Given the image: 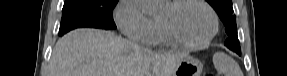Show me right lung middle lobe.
Returning a JSON list of instances; mask_svg holds the SVG:
<instances>
[{
	"mask_svg": "<svg viewBox=\"0 0 287 76\" xmlns=\"http://www.w3.org/2000/svg\"><path fill=\"white\" fill-rule=\"evenodd\" d=\"M118 0H65L59 35L81 27L115 29L112 10Z\"/></svg>",
	"mask_w": 287,
	"mask_h": 76,
	"instance_id": "dd1d6c3e",
	"label": "right lung middle lobe"
}]
</instances>
